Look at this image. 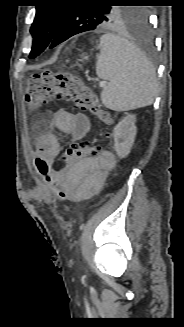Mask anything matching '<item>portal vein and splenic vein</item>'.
Wrapping results in <instances>:
<instances>
[{
	"label": "portal vein and splenic vein",
	"instance_id": "obj_1",
	"mask_svg": "<svg viewBox=\"0 0 184 327\" xmlns=\"http://www.w3.org/2000/svg\"><path fill=\"white\" fill-rule=\"evenodd\" d=\"M99 86L100 87H104L105 86V82H100Z\"/></svg>",
	"mask_w": 184,
	"mask_h": 327
}]
</instances>
